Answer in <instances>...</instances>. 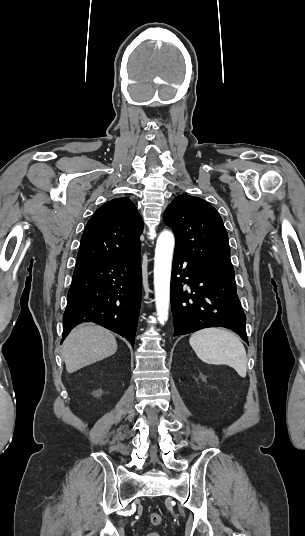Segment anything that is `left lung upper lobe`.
Segmentation results:
<instances>
[{"mask_svg": "<svg viewBox=\"0 0 305 536\" xmlns=\"http://www.w3.org/2000/svg\"><path fill=\"white\" fill-rule=\"evenodd\" d=\"M163 221L176 238L175 253L208 267L232 270L228 234L216 209L199 197H176Z\"/></svg>", "mask_w": 305, "mask_h": 536, "instance_id": "1", "label": "left lung upper lobe"}]
</instances>
